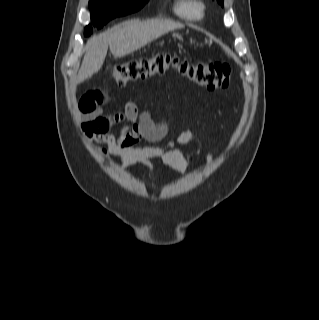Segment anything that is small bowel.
Here are the masks:
<instances>
[{
  "mask_svg": "<svg viewBox=\"0 0 319 320\" xmlns=\"http://www.w3.org/2000/svg\"><path fill=\"white\" fill-rule=\"evenodd\" d=\"M107 98L100 89H94L86 93L80 100L79 108L83 115L81 128L86 139L105 144L99 149L101 156H114L122 160L126 166L140 165L145 169L150 182L154 181V175L150 161L162 160L173 172L181 174L188 168V160L183 149L197 136L195 129L181 130L176 140L163 146H135L126 142L124 134L115 136L108 131L119 117H125L133 123L134 127L148 124L159 128L166 133L167 126L164 122H153L146 113L140 114L133 102H127L120 114L106 113L103 106ZM209 163L214 160V155L207 157Z\"/></svg>",
  "mask_w": 319,
  "mask_h": 320,
  "instance_id": "obj_1",
  "label": "small bowel"
}]
</instances>
